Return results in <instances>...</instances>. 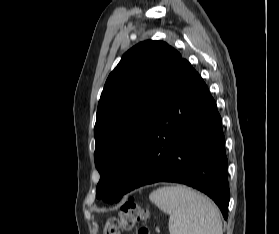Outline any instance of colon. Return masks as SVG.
I'll return each instance as SVG.
<instances>
[{"instance_id":"obj_1","label":"colon","mask_w":279,"mask_h":234,"mask_svg":"<svg viewBox=\"0 0 279 234\" xmlns=\"http://www.w3.org/2000/svg\"><path fill=\"white\" fill-rule=\"evenodd\" d=\"M146 219V209L135 199H130L121 206L117 215L107 218L103 234H120V230H134ZM137 234H149V230L146 226H140L137 228Z\"/></svg>"}]
</instances>
